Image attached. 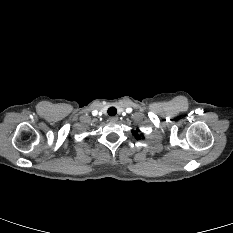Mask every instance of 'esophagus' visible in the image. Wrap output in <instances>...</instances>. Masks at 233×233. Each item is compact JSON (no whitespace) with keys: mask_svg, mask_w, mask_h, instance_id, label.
<instances>
[{"mask_svg":"<svg viewBox=\"0 0 233 233\" xmlns=\"http://www.w3.org/2000/svg\"><path fill=\"white\" fill-rule=\"evenodd\" d=\"M109 120L112 121V122H117L118 121V117L113 116V117H110Z\"/></svg>","mask_w":233,"mask_h":233,"instance_id":"34e87169","label":"esophagus"}]
</instances>
